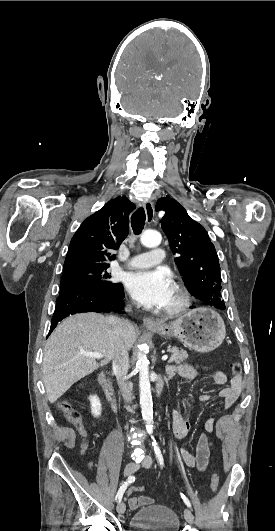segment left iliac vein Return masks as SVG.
<instances>
[{
  "mask_svg": "<svg viewBox=\"0 0 275 531\" xmlns=\"http://www.w3.org/2000/svg\"><path fill=\"white\" fill-rule=\"evenodd\" d=\"M142 465L145 468H150L151 465H152V458L149 455H146L144 460H143V462H142ZM184 517H185V520H186V522L188 524H190V525L194 524V517H193V514H192L190 509H188V508L184 509Z\"/></svg>",
  "mask_w": 275,
  "mask_h": 531,
  "instance_id": "obj_1",
  "label": "left iliac vein"
}]
</instances>
